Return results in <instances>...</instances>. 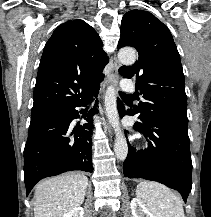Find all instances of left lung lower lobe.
Wrapping results in <instances>:
<instances>
[{"instance_id":"0a47b994","label":"left lung lower lobe","mask_w":211,"mask_h":217,"mask_svg":"<svg viewBox=\"0 0 211 217\" xmlns=\"http://www.w3.org/2000/svg\"><path fill=\"white\" fill-rule=\"evenodd\" d=\"M120 117L135 115L117 99ZM149 138L146 150L136 151L128 146V155L123 172L128 178H144L160 182L177 190L186 202L192 188V161L188 131L179 129L162 121L135 124Z\"/></svg>"}]
</instances>
